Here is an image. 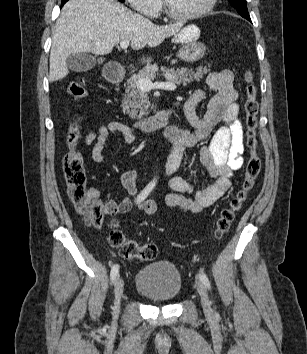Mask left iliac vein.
I'll return each instance as SVG.
<instances>
[{
    "label": "left iliac vein",
    "instance_id": "1",
    "mask_svg": "<svg viewBox=\"0 0 307 354\" xmlns=\"http://www.w3.org/2000/svg\"><path fill=\"white\" fill-rule=\"evenodd\" d=\"M195 286H196L197 291L201 297V302H202L204 312L207 315H211V313H212L211 303H210L208 293H207L205 286L200 281H196Z\"/></svg>",
    "mask_w": 307,
    "mask_h": 354
}]
</instances>
